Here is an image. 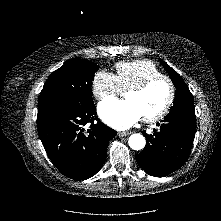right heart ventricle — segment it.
Listing matches in <instances>:
<instances>
[{
  "label": "right heart ventricle",
  "mask_w": 221,
  "mask_h": 221,
  "mask_svg": "<svg viewBox=\"0 0 221 221\" xmlns=\"http://www.w3.org/2000/svg\"><path fill=\"white\" fill-rule=\"evenodd\" d=\"M115 71L123 90H128L150 77L162 75L156 65L148 60L121 61L115 64Z\"/></svg>",
  "instance_id": "1"
}]
</instances>
